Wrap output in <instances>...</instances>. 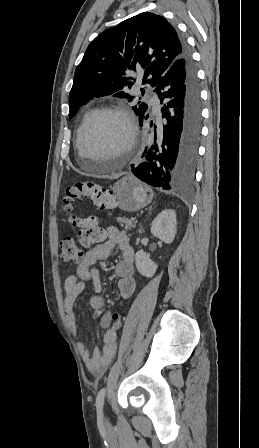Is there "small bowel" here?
Returning a JSON list of instances; mask_svg holds the SVG:
<instances>
[{
	"label": "small bowel",
	"instance_id": "c3829d8e",
	"mask_svg": "<svg viewBox=\"0 0 259 448\" xmlns=\"http://www.w3.org/2000/svg\"><path fill=\"white\" fill-rule=\"evenodd\" d=\"M107 239L90 249L78 264L76 272L66 278L64 288V310L70 329L78 334V320L75 304L78 296L85 289V283H92V292L89 303L92 308L100 310L104 307L101 297L102 284L100 274L94 267L96 261L110 256L114 248H118L121 259L116 264L114 272L118 278L117 289L122 298H128L135 290L134 279V250L128 236L115 227H108ZM111 312H106L101 319V326L105 329L103 335V348L97 347L89 350L81 342L78 345L81 357L87 369L95 376H100L113 360L117 351V334L119 328L112 326Z\"/></svg>",
	"mask_w": 259,
	"mask_h": 448
}]
</instances>
